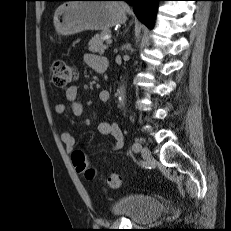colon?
Here are the masks:
<instances>
[{
	"mask_svg": "<svg viewBox=\"0 0 231 231\" xmlns=\"http://www.w3.org/2000/svg\"><path fill=\"white\" fill-rule=\"evenodd\" d=\"M52 79L57 88L67 89L78 79V70L64 61H55L52 64ZM72 161L76 169L83 172L87 179H94L97 176V171L89 166L84 152L75 151L72 154ZM105 181L111 188H119L123 183L121 175L115 173L107 175Z\"/></svg>",
	"mask_w": 231,
	"mask_h": 231,
	"instance_id": "5ec220e1",
	"label": "colon"
}]
</instances>
